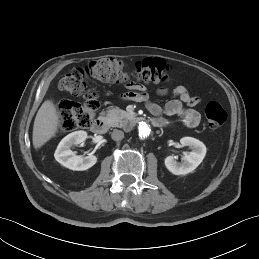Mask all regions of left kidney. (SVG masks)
<instances>
[{
  "instance_id": "1",
  "label": "left kidney",
  "mask_w": 259,
  "mask_h": 259,
  "mask_svg": "<svg viewBox=\"0 0 259 259\" xmlns=\"http://www.w3.org/2000/svg\"><path fill=\"white\" fill-rule=\"evenodd\" d=\"M182 146H188L191 152L183 156V162H177L174 156L165 159L166 168L174 175H185L195 170L206 155V146L203 142L193 137L180 139Z\"/></svg>"
}]
</instances>
